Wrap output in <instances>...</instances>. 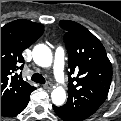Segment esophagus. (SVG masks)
<instances>
[{
	"mask_svg": "<svg viewBox=\"0 0 121 121\" xmlns=\"http://www.w3.org/2000/svg\"><path fill=\"white\" fill-rule=\"evenodd\" d=\"M43 88L46 90H51L52 89V84L51 83H46L45 85H43Z\"/></svg>",
	"mask_w": 121,
	"mask_h": 121,
	"instance_id": "1",
	"label": "esophagus"
}]
</instances>
